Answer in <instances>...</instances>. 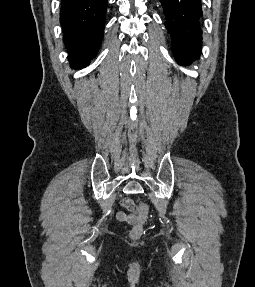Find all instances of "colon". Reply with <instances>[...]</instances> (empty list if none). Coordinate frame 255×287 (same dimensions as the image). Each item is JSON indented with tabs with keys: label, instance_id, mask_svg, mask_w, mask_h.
Returning <instances> with one entry per match:
<instances>
[{
	"label": "colon",
	"instance_id": "5ec220e1",
	"mask_svg": "<svg viewBox=\"0 0 255 287\" xmlns=\"http://www.w3.org/2000/svg\"><path fill=\"white\" fill-rule=\"evenodd\" d=\"M149 208L146 204L142 203L138 207L137 221L130 231V238L133 240L139 239L143 234V227L148 220Z\"/></svg>",
	"mask_w": 255,
	"mask_h": 287
}]
</instances>
